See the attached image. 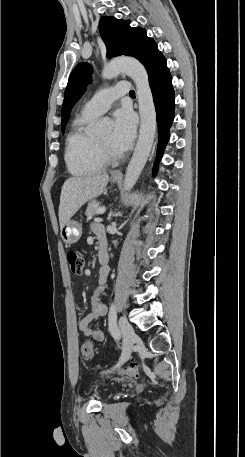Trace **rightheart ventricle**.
I'll return each mask as SVG.
<instances>
[{
	"label": "right heart ventricle",
	"mask_w": 245,
	"mask_h": 457,
	"mask_svg": "<svg viewBox=\"0 0 245 457\" xmlns=\"http://www.w3.org/2000/svg\"><path fill=\"white\" fill-rule=\"evenodd\" d=\"M92 118L83 116L76 119L70 126L66 138V161L73 174H82L100 170L104 162L95 160L89 149V141L93 134L89 132Z\"/></svg>",
	"instance_id": "1"
}]
</instances>
